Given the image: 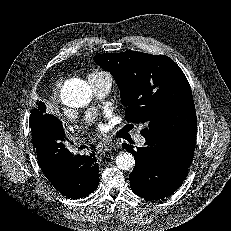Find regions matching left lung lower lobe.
Returning <instances> with one entry per match:
<instances>
[{
  "label": "left lung lower lobe",
  "instance_id": "obj_1",
  "mask_svg": "<svg viewBox=\"0 0 231 231\" xmlns=\"http://www.w3.org/2000/svg\"><path fill=\"white\" fill-rule=\"evenodd\" d=\"M144 147L123 144L135 157L130 186L138 196L158 200L175 192L188 174L195 142L171 146L159 139L145 138Z\"/></svg>",
  "mask_w": 231,
  "mask_h": 231
}]
</instances>
